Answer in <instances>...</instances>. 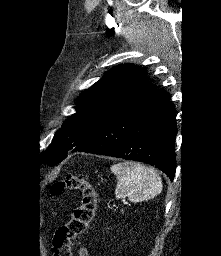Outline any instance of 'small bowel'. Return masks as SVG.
I'll list each match as a JSON object with an SVG mask.
<instances>
[{
	"instance_id": "obj_1",
	"label": "small bowel",
	"mask_w": 221,
	"mask_h": 256,
	"mask_svg": "<svg viewBox=\"0 0 221 256\" xmlns=\"http://www.w3.org/2000/svg\"><path fill=\"white\" fill-rule=\"evenodd\" d=\"M79 256H88V252L85 248L79 250Z\"/></svg>"
}]
</instances>
